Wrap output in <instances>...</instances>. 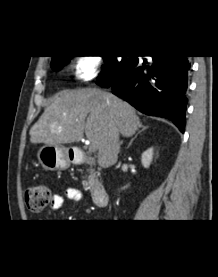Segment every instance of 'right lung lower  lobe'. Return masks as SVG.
I'll use <instances>...</instances> for the list:
<instances>
[{
  "instance_id": "obj_1",
  "label": "right lung lower lobe",
  "mask_w": 218,
  "mask_h": 277,
  "mask_svg": "<svg viewBox=\"0 0 218 277\" xmlns=\"http://www.w3.org/2000/svg\"><path fill=\"white\" fill-rule=\"evenodd\" d=\"M188 56H152V60L135 57L112 84L113 94L139 111L170 119L181 132L185 128L187 106Z\"/></svg>"
}]
</instances>
